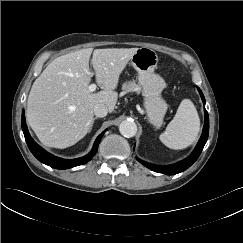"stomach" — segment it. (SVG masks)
Returning a JSON list of instances; mask_svg holds the SVG:
<instances>
[{
	"label": "stomach",
	"mask_w": 243,
	"mask_h": 243,
	"mask_svg": "<svg viewBox=\"0 0 243 243\" xmlns=\"http://www.w3.org/2000/svg\"><path fill=\"white\" fill-rule=\"evenodd\" d=\"M157 64V53L147 47L139 48L131 58V65L138 73V82L142 88L143 104L148 120L159 128L163 123L167 104L161 97L165 81L154 72Z\"/></svg>",
	"instance_id": "obj_1"
}]
</instances>
